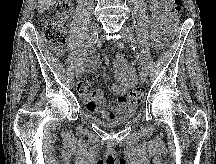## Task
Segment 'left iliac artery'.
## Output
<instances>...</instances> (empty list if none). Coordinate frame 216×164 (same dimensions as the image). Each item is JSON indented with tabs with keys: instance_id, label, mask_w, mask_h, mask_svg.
<instances>
[{
	"instance_id": "1",
	"label": "left iliac artery",
	"mask_w": 216,
	"mask_h": 164,
	"mask_svg": "<svg viewBox=\"0 0 216 164\" xmlns=\"http://www.w3.org/2000/svg\"><path fill=\"white\" fill-rule=\"evenodd\" d=\"M132 51L134 53L137 51V45L132 44ZM136 56H137L136 64H138L140 66V68L143 70L145 67L142 64V59H140L139 54H137Z\"/></svg>"
}]
</instances>
